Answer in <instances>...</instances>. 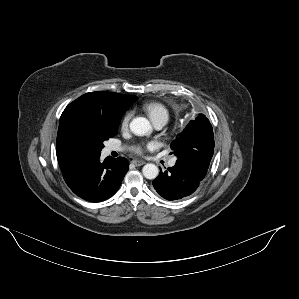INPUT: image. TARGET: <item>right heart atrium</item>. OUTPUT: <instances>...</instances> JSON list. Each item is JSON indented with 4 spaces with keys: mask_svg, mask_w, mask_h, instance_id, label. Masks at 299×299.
I'll use <instances>...</instances> for the list:
<instances>
[{
    "mask_svg": "<svg viewBox=\"0 0 299 299\" xmlns=\"http://www.w3.org/2000/svg\"><path fill=\"white\" fill-rule=\"evenodd\" d=\"M131 118V112H127L121 121V127H126L130 121Z\"/></svg>",
    "mask_w": 299,
    "mask_h": 299,
    "instance_id": "right-heart-atrium-1",
    "label": "right heart atrium"
}]
</instances>
